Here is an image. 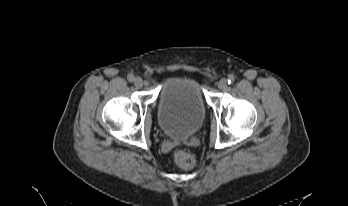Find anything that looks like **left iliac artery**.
I'll list each match as a JSON object with an SVG mask.
<instances>
[{"label": "left iliac artery", "mask_w": 348, "mask_h": 206, "mask_svg": "<svg viewBox=\"0 0 348 206\" xmlns=\"http://www.w3.org/2000/svg\"><path fill=\"white\" fill-rule=\"evenodd\" d=\"M234 81H235L234 76H233V75H230V76L228 77V84H233Z\"/></svg>", "instance_id": "left-iliac-artery-1"}]
</instances>
